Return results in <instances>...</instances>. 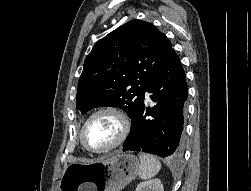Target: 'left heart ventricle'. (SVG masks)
Masks as SVG:
<instances>
[{
    "label": "left heart ventricle",
    "mask_w": 251,
    "mask_h": 191,
    "mask_svg": "<svg viewBox=\"0 0 251 191\" xmlns=\"http://www.w3.org/2000/svg\"><path fill=\"white\" fill-rule=\"evenodd\" d=\"M119 132L118 120L110 113H101L86 124L82 141L90 151L99 152L108 148L117 139Z\"/></svg>",
    "instance_id": "1"
}]
</instances>
